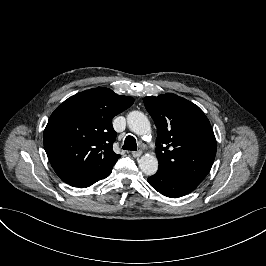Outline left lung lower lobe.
Returning <instances> with one entry per match:
<instances>
[{"label": "left lung lower lobe", "instance_id": "0a47b994", "mask_svg": "<svg viewBox=\"0 0 266 266\" xmlns=\"http://www.w3.org/2000/svg\"><path fill=\"white\" fill-rule=\"evenodd\" d=\"M149 184L162 195L176 198L192 192L198 184L158 169L157 173L148 178Z\"/></svg>", "mask_w": 266, "mask_h": 266}]
</instances>
